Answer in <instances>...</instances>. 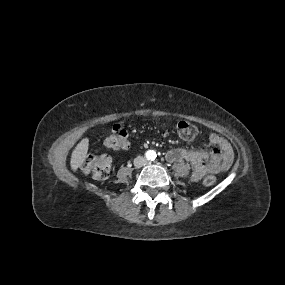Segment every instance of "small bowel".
I'll return each instance as SVG.
<instances>
[{"label":"small bowel","instance_id":"obj_1","mask_svg":"<svg viewBox=\"0 0 285 285\" xmlns=\"http://www.w3.org/2000/svg\"><path fill=\"white\" fill-rule=\"evenodd\" d=\"M209 143L213 146L210 151L175 148L168 151L166 157L171 162H189L192 165V177L195 180L201 179L207 172L228 170L233 161L230 143L216 134L210 135Z\"/></svg>","mask_w":285,"mask_h":285}]
</instances>
